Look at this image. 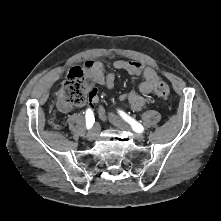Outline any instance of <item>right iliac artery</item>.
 Returning <instances> with one entry per match:
<instances>
[{
	"mask_svg": "<svg viewBox=\"0 0 221 221\" xmlns=\"http://www.w3.org/2000/svg\"><path fill=\"white\" fill-rule=\"evenodd\" d=\"M85 117H86V127L87 129H91L95 122L94 114L91 109H88L86 111Z\"/></svg>",
	"mask_w": 221,
	"mask_h": 221,
	"instance_id": "right-iliac-artery-1",
	"label": "right iliac artery"
}]
</instances>
